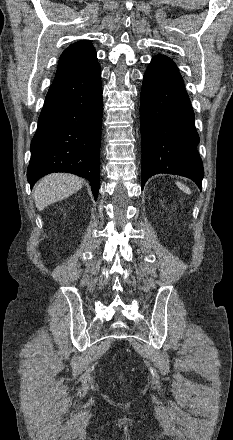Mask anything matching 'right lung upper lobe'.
Here are the masks:
<instances>
[{
  "instance_id": "right-lung-upper-lobe-1",
  "label": "right lung upper lobe",
  "mask_w": 233,
  "mask_h": 440,
  "mask_svg": "<svg viewBox=\"0 0 233 440\" xmlns=\"http://www.w3.org/2000/svg\"><path fill=\"white\" fill-rule=\"evenodd\" d=\"M98 65L96 51L90 42L74 43L62 53L54 81L82 75Z\"/></svg>"
}]
</instances>
